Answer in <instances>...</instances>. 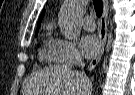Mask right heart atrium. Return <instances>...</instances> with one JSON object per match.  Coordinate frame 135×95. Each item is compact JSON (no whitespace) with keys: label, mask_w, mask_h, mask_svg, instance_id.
Listing matches in <instances>:
<instances>
[{"label":"right heart atrium","mask_w":135,"mask_h":95,"mask_svg":"<svg viewBox=\"0 0 135 95\" xmlns=\"http://www.w3.org/2000/svg\"><path fill=\"white\" fill-rule=\"evenodd\" d=\"M54 60L58 63H66L72 59L80 58L76 45L67 39H56L53 43Z\"/></svg>","instance_id":"right-heart-atrium-1"}]
</instances>
